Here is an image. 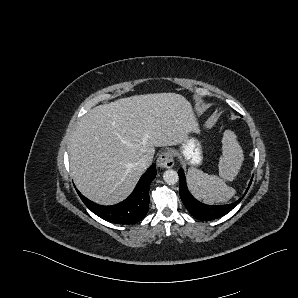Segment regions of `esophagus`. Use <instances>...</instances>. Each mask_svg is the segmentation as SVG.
I'll list each match as a JSON object with an SVG mask.
<instances>
[{"label": "esophagus", "mask_w": 298, "mask_h": 298, "mask_svg": "<svg viewBox=\"0 0 298 298\" xmlns=\"http://www.w3.org/2000/svg\"><path fill=\"white\" fill-rule=\"evenodd\" d=\"M157 165L160 168H172L174 166L173 154L170 151L162 152L157 158Z\"/></svg>", "instance_id": "1"}]
</instances>
